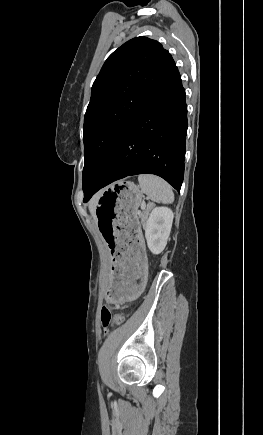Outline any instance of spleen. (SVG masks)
<instances>
[{
    "label": "spleen",
    "mask_w": 263,
    "mask_h": 435,
    "mask_svg": "<svg viewBox=\"0 0 263 435\" xmlns=\"http://www.w3.org/2000/svg\"><path fill=\"white\" fill-rule=\"evenodd\" d=\"M139 186L152 201L171 204L174 200V193L171 186L162 178L151 175L141 174L138 176Z\"/></svg>",
    "instance_id": "spleen-1"
}]
</instances>
